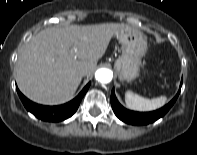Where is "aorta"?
<instances>
[{
  "label": "aorta",
  "instance_id": "obj_1",
  "mask_svg": "<svg viewBox=\"0 0 197 155\" xmlns=\"http://www.w3.org/2000/svg\"><path fill=\"white\" fill-rule=\"evenodd\" d=\"M95 79L99 85H106L112 80V72L105 68L98 69L95 73Z\"/></svg>",
  "mask_w": 197,
  "mask_h": 155
}]
</instances>
